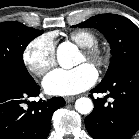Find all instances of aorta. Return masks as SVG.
<instances>
[{
	"instance_id": "obj_1",
	"label": "aorta",
	"mask_w": 139,
	"mask_h": 139,
	"mask_svg": "<svg viewBox=\"0 0 139 139\" xmlns=\"http://www.w3.org/2000/svg\"><path fill=\"white\" fill-rule=\"evenodd\" d=\"M77 54L75 45L64 42L57 49V59L61 67L70 69L74 66L73 57ZM75 109L80 113L87 115L93 110V102L87 97H81L75 102Z\"/></svg>"
}]
</instances>
